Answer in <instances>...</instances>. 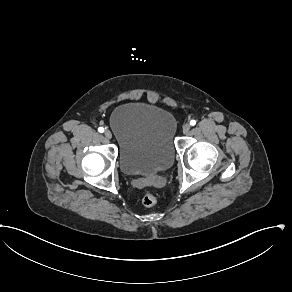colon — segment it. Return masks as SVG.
<instances>
[{
    "label": "colon",
    "mask_w": 292,
    "mask_h": 292,
    "mask_svg": "<svg viewBox=\"0 0 292 292\" xmlns=\"http://www.w3.org/2000/svg\"><path fill=\"white\" fill-rule=\"evenodd\" d=\"M156 202H157L156 195L151 191L146 192L142 197V204L145 206L148 207L154 206Z\"/></svg>",
    "instance_id": "colon-1"
}]
</instances>
